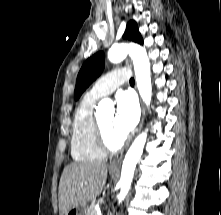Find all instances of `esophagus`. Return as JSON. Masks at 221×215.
Instances as JSON below:
<instances>
[{"instance_id": "1", "label": "esophagus", "mask_w": 221, "mask_h": 215, "mask_svg": "<svg viewBox=\"0 0 221 215\" xmlns=\"http://www.w3.org/2000/svg\"><path fill=\"white\" fill-rule=\"evenodd\" d=\"M141 109H142V111H141V120H140L137 132H140V130H141L142 126H143V123H144V118H145V109L143 107L142 102H141ZM121 163H122V155L120 157H118L117 159H115L110 164V168L111 169H117L121 165Z\"/></svg>"}]
</instances>
